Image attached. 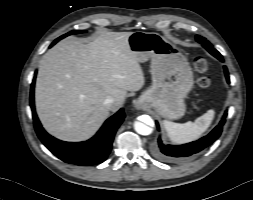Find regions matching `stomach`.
<instances>
[{"mask_svg":"<svg viewBox=\"0 0 253 200\" xmlns=\"http://www.w3.org/2000/svg\"><path fill=\"white\" fill-rule=\"evenodd\" d=\"M139 63L151 60L152 86L139 98L167 119H178L186 110L184 98L193 87V72L179 48L154 32H133L128 38Z\"/></svg>","mask_w":253,"mask_h":200,"instance_id":"1","label":"stomach"}]
</instances>
